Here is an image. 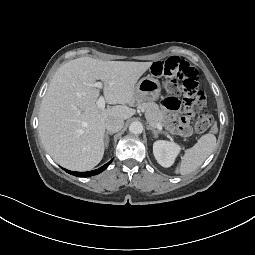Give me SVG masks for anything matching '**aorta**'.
<instances>
[{"mask_svg":"<svg viewBox=\"0 0 255 255\" xmlns=\"http://www.w3.org/2000/svg\"><path fill=\"white\" fill-rule=\"evenodd\" d=\"M129 131L132 134H141L143 131V126L140 122H132L129 126Z\"/></svg>","mask_w":255,"mask_h":255,"instance_id":"aorta-1","label":"aorta"}]
</instances>
